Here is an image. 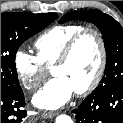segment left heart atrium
Returning <instances> with one entry per match:
<instances>
[{"label": "left heart atrium", "mask_w": 123, "mask_h": 123, "mask_svg": "<svg viewBox=\"0 0 123 123\" xmlns=\"http://www.w3.org/2000/svg\"><path fill=\"white\" fill-rule=\"evenodd\" d=\"M73 92L74 89L67 79L55 77L34 95L32 101L42 109H57L70 100Z\"/></svg>", "instance_id": "1"}]
</instances>
